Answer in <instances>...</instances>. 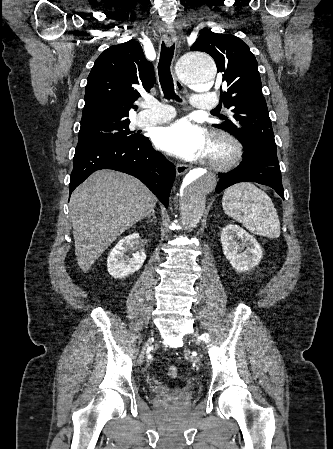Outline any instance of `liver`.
I'll return each instance as SVG.
<instances>
[{"label":"liver","instance_id":"1","mask_svg":"<svg viewBox=\"0 0 333 449\" xmlns=\"http://www.w3.org/2000/svg\"><path fill=\"white\" fill-rule=\"evenodd\" d=\"M155 205L156 197L135 177L112 170L92 173L69 202L80 269L88 271L118 236L149 216Z\"/></svg>","mask_w":333,"mask_h":449}]
</instances>
